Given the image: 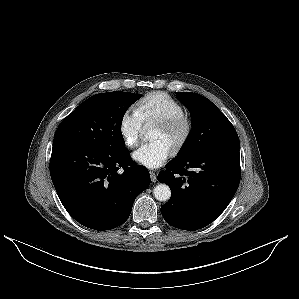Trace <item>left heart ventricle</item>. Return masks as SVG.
Wrapping results in <instances>:
<instances>
[{
  "label": "left heart ventricle",
  "instance_id": "obj_1",
  "mask_svg": "<svg viewBox=\"0 0 299 299\" xmlns=\"http://www.w3.org/2000/svg\"><path fill=\"white\" fill-rule=\"evenodd\" d=\"M181 129L169 132L166 131L158 126L155 127L153 134H152V140H162L166 142L170 148L175 144V142L179 139L181 136Z\"/></svg>",
  "mask_w": 299,
  "mask_h": 299
}]
</instances>
